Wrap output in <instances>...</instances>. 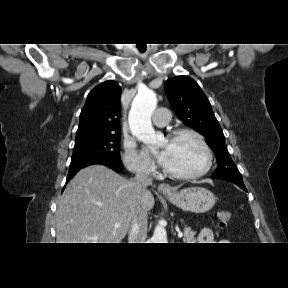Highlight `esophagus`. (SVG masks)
Segmentation results:
<instances>
[{
	"label": "esophagus",
	"instance_id": "esophagus-1",
	"mask_svg": "<svg viewBox=\"0 0 288 288\" xmlns=\"http://www.w3.org/2000/svg\"><path fill=\"white\" fill-rule=\"evenodd\" d=\"M158 191L165 195L174 193V189L169 184L166 183L160 184L158 186Z\"/></svg>",
	"mask_w": 288,
	"mask_h": 288
}]
</instances>
